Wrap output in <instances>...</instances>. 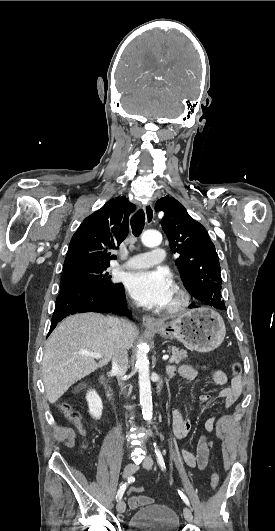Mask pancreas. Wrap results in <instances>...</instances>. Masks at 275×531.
I'll list each match as a JSON object with an SVG mask.
<instances>
[{
	"instance_id": "obj_1",
	"label": "pancreas",
	"mask_w": 275,
	"mask_h": 531,
	"mask_svg": "<svg viewBox=\"0 0 275 531\" xmlns=\"http://www.w3.org/2000/svg\"><path fill=\"white\" fill-rule=\"evenodd\" d=\"M170 351L168 353H172L169 363H176V365H179V363H182V361H185L187 359V351H183V349H178V347H169Z\"/></svg>"
}]
</instances>
